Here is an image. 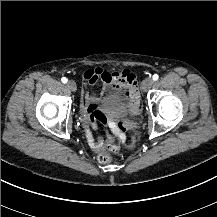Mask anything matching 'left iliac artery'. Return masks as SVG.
<instances>
[{
	"label": "left iliac artery",
	"mask_w": 217,
	"mask_h": 217,
	"mask_svg": "<svg viewBox=\"0 0 217 217\" xmlns=\"http://www.w3.org/2000/svg\"><path fill=\"white\" fill-rule=\"evenodd\" d=\"M152 78L154 81H156V80H158L159 76L157 74H154Z\"/></svg>",
	"instance_id": "1"
}]
</instances>
